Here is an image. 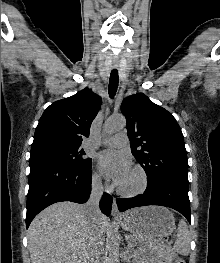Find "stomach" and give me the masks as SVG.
Returning a JSON list of instances; mask_svg holds the SVG:
<instances>
[{
    "label": "stomach",
    "mask_w": 220,
    "mask_h": 263,
    "mask_svg": "<svg viewBox=\"0 0 220 263\" xmlns=\"http://www.w3.org/2000/svg\"><path fill=\"white\" fill-rule=\"evenodd\" d=\"M121 226L144 242L162 238L175 230V218L165 207L145 206L122 215Z\"/></svg>",
    "instance_id": "0dacf381"
}]
</instances>
